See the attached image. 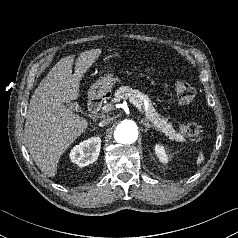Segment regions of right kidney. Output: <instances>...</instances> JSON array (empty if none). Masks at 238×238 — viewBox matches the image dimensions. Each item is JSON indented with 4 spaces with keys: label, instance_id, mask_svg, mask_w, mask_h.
Here are the masks:
<instances>
[{
    "label": "right kidney",
    "instance_id": "ca27d5eb",
    "mask_svg": "<svg viewBox=\"0 0 238 238\" xmlns=\"http://www.w3.org/2000/svg\"><path fill=\"white\" fill-rule=\"evenodd\" d=\"M101 139L91 137L79 145H76L70 152V159L79 167H84L95 162L99 156Z\"/></svg>",
    "mask_w": 238,
    "mask_h": 238
}]
</instances>
